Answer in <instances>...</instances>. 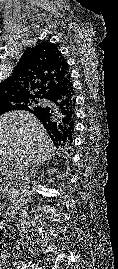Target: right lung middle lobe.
I'll return each mask as SVG.
<instances>
[{
  "instance_id": "obj_1",
  "label": "right lung middle lobe",
  "mask_w": 118,
  "mask_h": 269,
  "mask_svg": "<svg viewBox=\"0 0 118 269\" xmlns=\"http://www.w3.org/2000/svg\"><path fill=\"white\" fill-rule=\"evenodd\" d=\"M30 106H32V102L30 100L14 103H3L0 104V115L12 110H26Z\"/></svg>"
}]
</instances>
